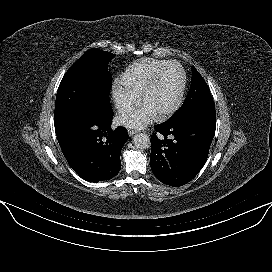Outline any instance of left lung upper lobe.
I'll list each match as a JSON object with an SVG mask.
<instances>
[{"instance_id":"obj_1","label":"left lung upper lobe","mask_w":272,"mask_h":272,"mask_svg":"<svg viewBox=\"0 0 272 272\" xmlns=\"http://www.w3.org/2000/svg\"><path fill=\"white\" fill-rule=\"evenodd\" d=\"M209 113H215L210 90L203 77L193 67L190 91L181 108L168 121L176 122L186 116Z\"/></svg>"}]
</instances>
